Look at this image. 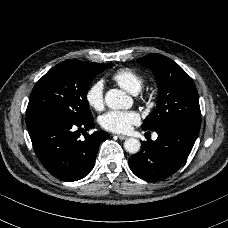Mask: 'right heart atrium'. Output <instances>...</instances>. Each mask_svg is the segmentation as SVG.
I'll return each mask as SVG.
<instances>
[{
    "instance_id": "d8ad5b80",
    "label": "right heart atrium",
    "mask_w": 228,
    "mask_h": 228,
    "mask_svg": "<svg viewBox=\"0 0 228 228\" xmlns=\"http://www.w3.org/2000/svg\"><path fill=\"white\" fill-rule=\"evenodd\" d=\"M104 95L105 82L103 79H96L86 89L85 100L91 108L100 111L104 108Z\"/></svg>"
}]
</instances>
